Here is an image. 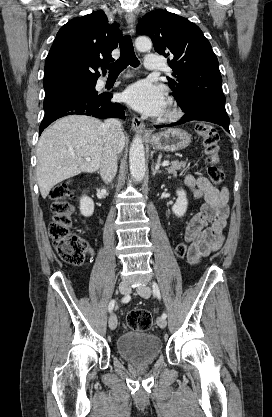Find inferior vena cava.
Here are the masks:
<instances>
[{"label":"inferior vena cava","mask_w":272,"mask_h":417,"mask_svg":"<svg viewBox=\"0 0 272 417\" xmlns=\"http://www.w3.org/2000/svg\"><path fill=\"white\" fill-rule=\"evenodd\" d=\"M105 147L103 149L100 175L105 183H110L117 173L119 139L123 135L122 122L116 118L107 119L102 124Z\"/></svg>","instance_id":"inferior-vena-cava-1"}]
</instances>
